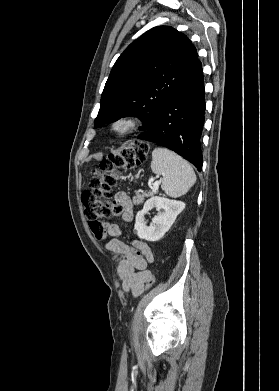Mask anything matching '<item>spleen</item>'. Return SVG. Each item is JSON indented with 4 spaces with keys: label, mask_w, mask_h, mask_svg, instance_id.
Instances as JSON below:
<instances>
[{
    "label": "spleen",
    "mask_w": 279,
    "mask_h": 391,
    "mask_svg": "<svg viewBox=\"0 0 279 391\" xmlns=\"http://www.w3.org/2000/svg\"><path fill=\"white\" fill-rule=\"evenodd\" d=\"M151 169L162 176V189L170 197H180L196 182L191 165L175 152L158 147L152 152Z\"/></svg>",
    "instance_id": "1"
}]
</instances>
